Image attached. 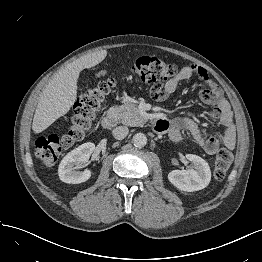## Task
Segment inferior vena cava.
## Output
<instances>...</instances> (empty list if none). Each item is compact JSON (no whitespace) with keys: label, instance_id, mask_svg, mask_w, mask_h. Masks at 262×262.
Returning <instances> with one entry per match:
<instances>
[{"label":"inferior vena cava","instance_id":"inferior-vena-cava-1","mask_svg":"<svg viewBox=\"0 0 262 262\" xmlns=\"http://www.w3.org/2000/svg\"><path fill=\"white\" fill-rule=\"evenodd\" d=\"M128 128L126 126H118L113 129L112 134L115 139L121 140L128 135Z\"/></svg>","mask_w":262,"mask_h":262}]
</instances>
